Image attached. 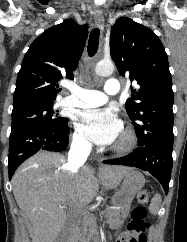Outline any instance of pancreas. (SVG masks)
<instances>
[{
    "label": "pancreas",
    "mask_w": 187,
    "mask_h": 242,
    "mask_svg": "<svg viewBox=\"0 0 187 242\" xmlns=\"http://www.w3.org/2000/svg\"><path fill=\"white\" fill-rule=\"evenodd\" d=\"M106 222L112 226L115 212L109 208L103 211ZM97 218L95 215L85 212L80 218L75 228V237L78 242H90L92 237L97 234Z\"/></svg>",
    "instance_id": "cf45deb5"
}]
</instances>
